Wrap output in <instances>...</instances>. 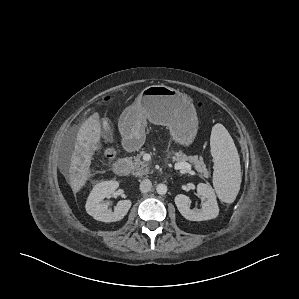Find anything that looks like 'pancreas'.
Instances as JSON below:
<instances>
[{"mask_svg":"<svg viewBox=\"0 0 299 299\" xmlns=\"http://www.w3.org/2000/svg\"><path fill=\"white\" fill-rule=\"evenodd\" d=\"M142 154H138L135 157H129L128 161L130 162L132 174L135 176L142 177L151 172V169L148 167V163L142 160ZM173 161L176 163L189 161L194 165L195 170L203 176L208 175L206 165L204 164L203 158L198 156H187L183 152H176Z\"/></svg>","mask_w":299,"mask_h":299,"instance_id":"cf45deb5","label":"pancreas"}]
</instances>
